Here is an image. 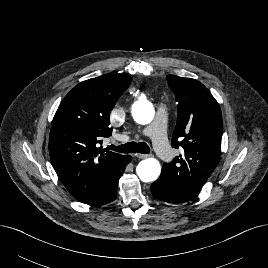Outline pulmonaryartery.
Here are the masks:
<instances>
[{"label": "pulmonary artery", "instance_id": "1", "mask_svg": "<svg viewBox=\"0 0 268 268\" xmlns=\"http://www.w3.org/2000/svg\"><path fill=\"white\" fill-rule=\"evenodd\" d=\"M166 117L167 107L162 104L158 107L155 123L145 127L140 135L153 139L154 149L159 157L164 161H170L173 158V152L166 137Z\"/></svg>", "mask_w": 268, "mask_h": 268}]
</instances>
